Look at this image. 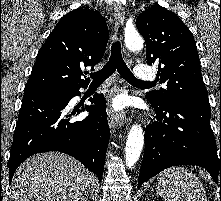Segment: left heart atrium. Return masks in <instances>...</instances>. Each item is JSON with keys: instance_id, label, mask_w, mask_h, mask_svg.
<instances>
[{"instance_id": "39dd6f15", "label": "left heart atrium", "mask_w": 221, "mask_h": 201, "mask_svg": "<svg viewBox=\"0 0 221 201\" xmlns=\"http://www.w3.org/2000/svg\"><path fill=\"white\" fill-rule=\"evenodd\" d=\"M125 101L122 97H115L112 101H111V106L115 109V110H120L124 107Z\"/></svg>"}]
</instances>
